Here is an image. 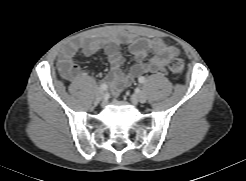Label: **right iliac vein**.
I'll list each match as a JSON object with an SVG mask.
<instances>
[{"instance_id":"obj_1","label":"right iliac vein","mask_w":246,"mask_h":181,"mask_svg":"<svg viewBox=\"0 0 246 181\" xmlns=\"http://www.w3.org/2000/svg\"><path fill=\"white\" fill-rule=\"evenodd\" d=\"M105 93L101 89H97L96 91V100L100 101L104 98Z\"/></svg>"}]
</instances>
